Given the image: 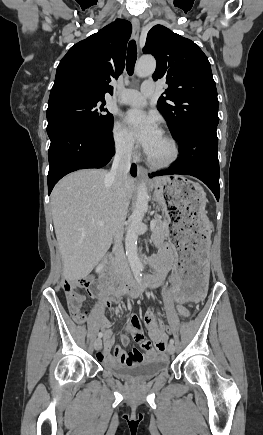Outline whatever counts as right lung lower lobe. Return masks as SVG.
Wrapping results in <instances>:
<instances>
[{
	"instance_id": "obj_1",
	"label": "right lung lower lobe",
	"mask_w": 263,
	"mask_h": 435,
	"mask_svg": "<svg viewBox=\"0 0 263 435\" xmlns=\"http://www.w3.org/2000/svg\"><path fill=\"white\" fill-rule=\"evenodd\" d=\"M111 131L99 133L79 125L57 127L49 135L48 193L70 172L105 166L115 153ZM131 174L134 177L137 174L135 165Z\"/></svg>"
}]
</instances>
